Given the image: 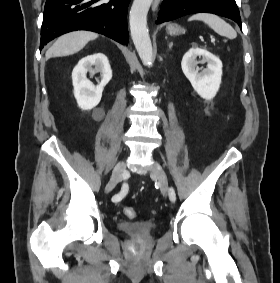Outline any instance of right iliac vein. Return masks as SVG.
I'll list each match as a JSON object with an SVG mask.
<instances>
[{
    "label": "right iliac vein",
    "instance_id": "obj_1",
    "mask_svg": "<svg viewBox=\"0 0 280 283\" xmlns=\"http://www.w3.org/2000/svg\"><path fill=\"white\" fill-rule=\"evenodd\" d=\"M125 172L124 161H119L112 171L110 181L108 182L105 193L110 192L121 180L123 173Z\"/></svg>",
    "mask_w": 280,
    "mask_h": 283
}]
</instances>
